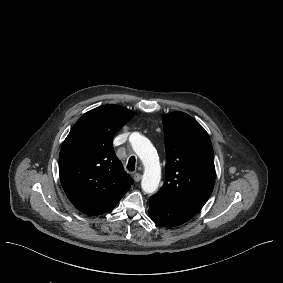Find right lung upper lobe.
<instances>
[{"instance_id":"obj_1","label":"right lung upper lobe","mask_w":283,"mask_h":283,"mask_svg":"<svg viewBox=\"0 0 283 283\" xmlns=\"http://www.w3.org/2000/svg\"><path fill=\"white\" fill-rule=\"evenodd\" d=\"M134 113L104 105L85 113L62 144L59 173L70 201L82 212L111 211L133 184L115 155L112 140Z\"/></svg>"}]
</instances>
